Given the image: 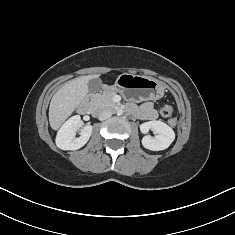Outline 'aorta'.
Instances as JSON below:
<instances>
[{"instance_id": "aorta-1", "label": "aorta", "mask_w": 235, "mask_h": 235, "mask_svg": "<svg viewBox=\"0 0 235 235\" xmlns=\"http://www.w3.org/2000/svg\"><path fill=\"white\" fill-rule=\"evenodd\" d=\"M122 114H123V110H121V109L117 110V115H118V116H120V115H122Z\"/></svg>"}]
</instances>
